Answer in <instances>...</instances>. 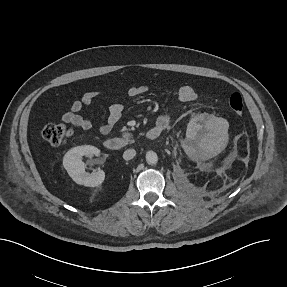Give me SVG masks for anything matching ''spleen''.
<instances>
[{
  "label": "spleen",
  "mask_w": 287,
  "mask_h": 287,
  "mask_svg": "<svg viewBox=\"0 0 287 287\" xmlns=\"http://www.w3.org/2000/svg\"><path fill=\"white\" fill-rule=\"evenodd\" d=\"M219 144H221V143H219ZM217 145V143H213V146H216Z\"/></svg>",
  "instance_id": "3e777b00"
}]
</instances>
